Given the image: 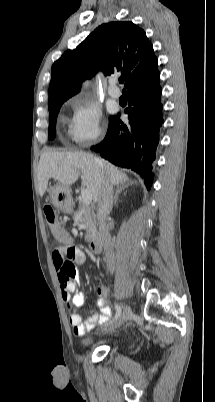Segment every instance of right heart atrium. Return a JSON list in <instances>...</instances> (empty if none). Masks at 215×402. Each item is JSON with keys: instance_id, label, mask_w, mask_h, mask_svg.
<instances>
[{"instance_id": "right-heart-atrium-1", "label": "right heart atrium", "mask_w": 215, "mask_h": 402, "mask_svg": "<svg viewBox=\"0 0 215 402\" xmlns=\"http://www.w3.org/2000/svg\"><path fill=\"white\" fill-rule=\"evenodd\" d=\"M72 118L68 127L70 139L79 146L97 140L102 134V110L93 101L78 97L71 103Z\"/></svg>"}]
</instances>
